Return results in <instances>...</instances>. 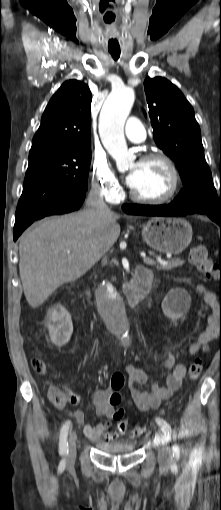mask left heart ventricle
<instances>
[{"label": "left heart ventricle", "instance_id": "1", "mask_svg": "<svg viewBox=\"0 0 221 510\" xmlns=\"http://www.w3.org/2000/svg\"><path fill=\"white\" fill-rule=\"evenodd\" d=\"M136 170V179L131 186L139 196L157 198L165 195L171 186V174L161 160H151L132 164L131 171Z\"/></svg>", "mask_w": 221, "mask_h": 510}]
</instances>
